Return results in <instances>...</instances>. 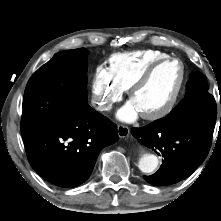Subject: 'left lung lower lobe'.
Wrapping results in <instances>:
<instances>
[{
  "mask_svg": "<svg viewBox=\"0 0 221 221\" xmlns=\"http://www.w3.org/2000/svg\"><path fill=\"white\" fill-rule=\"evenodd\" d=\"M214 126L181 124L162 126L157 121L141 128H133L132 135L164 160L159 170L145 180L156 186L177 183L189 175L205 160Z\"/></svg>",
  "mask_w": 221,
  "mask_h": 221,
  "instance_id": "0a47b994",
  "label": "left lung lower lobe"
}]
</instances>
